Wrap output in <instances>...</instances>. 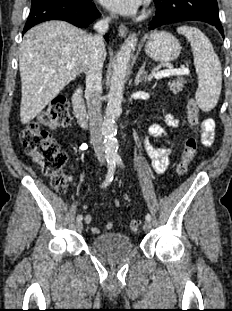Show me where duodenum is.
<instances>
[{
  "label": "duodenum",
  "instance_id": "duodenum-1",
  "mask_svg": "<svg viewBox=\"0 0 232 311\" xmlns=\"http://www.w3.org/2000/svg\"><path fill=\"white\" fill-rule=\"evenodd\" d=\"M72 104L78 122L87 126L88 114L87 109L83 100V88L78 87L72 94Z\"/></svg>",
  "mask_w": 232,
  "mask_h": 311
}]
</instances>
